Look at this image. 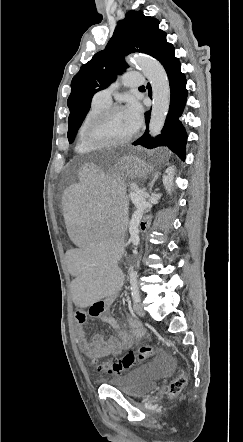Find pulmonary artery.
I'll use <instances>...</instances> for the list:
<instances>
[{"mask_svg": "<svg viewBox=\"0 0 243 442\" xmlns=\"http://www.w3.org/2000/svg\"><path fill=\"white\" fill-rule=\"evenodd\" d=\"M118 84L119 83L116 82V83L110 85L108 88L98 91L94 95V99L99 102L105 103V104H111V102H112L111 95L114 92L115 88L118 86ZM122 84L127 87L141 86L143 84L142 79H141V74L127 72L122 80Z\"/></svg>", "mask_w": 243, "mask_h": 442, "instance_id": "obj_1", "label": "pulmonary artery"}]
</instances>
